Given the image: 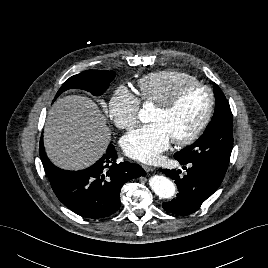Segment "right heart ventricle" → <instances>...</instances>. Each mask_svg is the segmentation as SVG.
<instances>
[{"mask_svg": "<svg viewBox=\"0 0 268 268\" xmlns=\"http://www.w3.org/2000/svg\"><path fill=\"white\" fill-rule=\"evenodd\" d=\"M196 81V78L177 69H164L149 73L137 81L140 100L158 105L167 101L181 85Z\"/></svg>", "mask_w": 268, "mask_h": 268, "instance_id": "obj_1", "label": "right heart ventricle"}]
</instances>
